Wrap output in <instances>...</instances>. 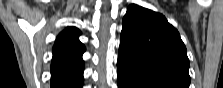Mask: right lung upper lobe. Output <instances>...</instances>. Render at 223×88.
Listing matches in <instances>:
<instances>
[{
    "label": "right lung upper lobe",
    "mask_w": 223,
    "mask_h": 88,
    "mask_svg": "<svg viewBox=\"0 0 223 88\" xmlns=\"http://www.w3.org/2000/svg\"><path fill=\"white\" fill-rule=\"evenodd\" d=\"M79 35L77 28L68 27L59 34L53 47L51 80L63 81L62 88L83 80L84 63L81 56L85 47L78 40Z\"/></svg>",
    "instance_id": "1"
}]
</instances>
